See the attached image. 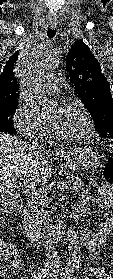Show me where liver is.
<instances>
[{
    "label": "liver",
    "mask_w": 113,
    "mask_h": 279,
    "mask_svg": "<svg viewBox=\"0 0 113 279\" xmlns=\"http://www.w3.org/2000/svg\"><path fill=\"white\" fill-rule=\"evenodd\" d=\"M58 156L61 154H56V158ZM20 174L27 177L31 185L38 186L49 180L52 169L43 152L0 132V207L12 195Z\"/></svg>",
    "instance_id": "6515ba94"
}]
</instances>
